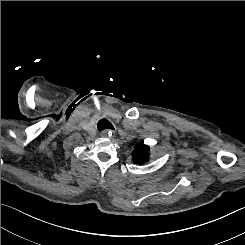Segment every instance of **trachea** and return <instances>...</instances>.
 <instances>
[{"instance_id": "3493384b", "label": "trachea", "mask_w": 245, "mask_h": 245, "mask_svg": "<svg viewBox=\"0 0 245 245\" xmlns=\"http://www.w3.org/2000/svg\"><path fill=\"white\" fill-rule=\"evenodd\" d=\"M97 128L99 131L106 129H114V126L107 119H100L97 123Z\"/></svg>"}]
</instances>
